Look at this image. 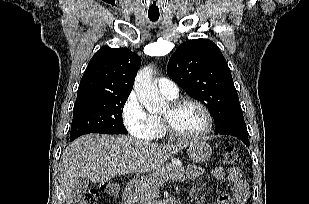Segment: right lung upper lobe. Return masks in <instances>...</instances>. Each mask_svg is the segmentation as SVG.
Returning <instances> with one entry per match:
<instances>
[{
	"label": "right lung upper lobe",
	"mask_w": 309,
	"mask_h": 204,
	"mask_svg": "<svg viewBox=\"0 0 309 204\" xmlns=\"http://www.w3.org/2000/svg\"><path fill=\"white\" fill-rule=\"evenodd\" d=\"M141 58L127 48L103 46L90 60L75 103L106 96H129Z\"/></svg>",
	"instance_id": "cb5924a9"
}]
</instances>
